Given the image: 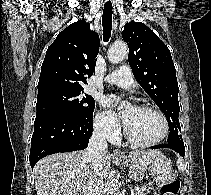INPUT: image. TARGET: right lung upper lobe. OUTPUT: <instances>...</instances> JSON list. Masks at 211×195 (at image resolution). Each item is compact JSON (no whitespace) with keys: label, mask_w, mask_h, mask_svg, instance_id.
<instances>
[{"label":"right lung upper lobe","mask_w":211,"mask_h":195,"mask_svg":"<svg viewBox=\"0 0 211 195\" xmlns=\"http://www.w3.org/2000/svg\"><path fill=\"white\" fill-rule=\"evenodd\" d=\"M99 36L90 24L78 20L59 33L48 47L41 67L38 92L54 89H83L95 70Z\"/></svg>","instance_id":"1"}]
</instances>
